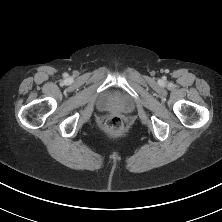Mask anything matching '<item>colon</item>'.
Masks as SVG:
<instances>
[{"instance_id":"1","label":"colon","mask_w":222,"mask_h":222,"mask_svg":"<svg viewBox=\"0 0 222 222\" xmlns=\"http://www.w3.org/2000/svg\"><path fill=\"white\" fill-rule=\"evenodd\" d=\"M105 126L113 134H118L123 129V121L118 116H112L106 120Z\"/></svg>"}]
</instances>
